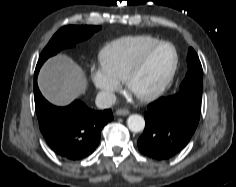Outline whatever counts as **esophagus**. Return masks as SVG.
Here are the masks:
<instances>
[{
    "mask_svg": "<svg viewBox=\"0 0 236 187\" xmlns=\"http://www.w3.org/2000/svg\"><path fill=\"white\" fill-rule=\"evenodd\" d=\"M129 113H130L129 110H127V109H118V110H116V115H118V116H126Z\"/></svg>",
    "mask_w": 236,
    "mask_h": 187,
    "instance_id": "34e87169",
    "label": "esophagus"
}]
</instances>
